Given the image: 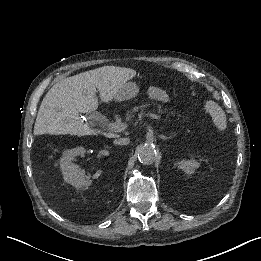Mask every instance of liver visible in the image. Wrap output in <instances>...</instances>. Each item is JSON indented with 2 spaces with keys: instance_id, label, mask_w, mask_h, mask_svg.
<instances>
[{
  "instance_id": "6515ba94",
  "label": "liver",
  "mask_w": 261,
  "mask_h": 261,
  "mask_svg": "<svg viewBox=\"0 0 261 261\" xmlns=\"http://www.w3.org/2000/svg\"><path fill=\"white\" fill-rule=\"evenodd\" d=\"M135 77L134 70L101 68L57 82L42 101L34 135L117 136L89 126L82 121L80 114L99 109L97 92L103 103L110 104L122 86Z\"/></svg>"
}]
</instances>
